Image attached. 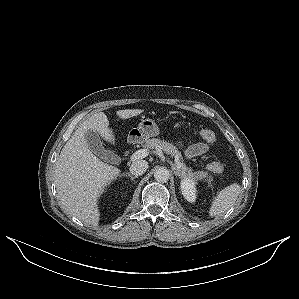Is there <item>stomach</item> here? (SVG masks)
<instances>
[{
    "instance_id": "1",
    "label": "stomach",
    "mask_w": 299,
    "mask_h": 299,
    "mask_svg": "<svg viewBox=\"0 0 299 299\" xmlns=\"http://www.w3.org/2000/svg\"><path fill=\"white\" fill-rule=\"evenodd\" d=\"M160 130L155 120L142 119L137 128H132L128 134V141L141 143L147 141L150 137L159 135Z\"/></svg>"
}]
</instances>
